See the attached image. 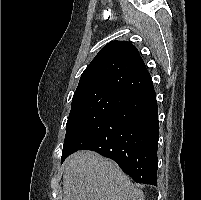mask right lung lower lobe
Listing matches in <instances>:
<instances>
[{
  "mask_svg": "<svg viewBox=\"0 0 201 200\" xmlns=\"http://www.w3.org/2000/svg\"><path fill=\"white\" fill-rule=\"evenodd\" d=\"M158 140V106L152 88L80 131L68 143L66 158L78 150H92L116 161L135 182L157 186Z\"/></svg>",
  "mask_w": 201,
  "mask_h": 200,
  "instance_id": "obj_1",
  "label": "right lung lower lobe"
}]
</instances>
